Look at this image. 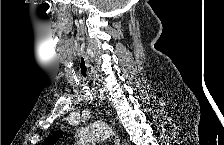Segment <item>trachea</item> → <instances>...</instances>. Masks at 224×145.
I'll return each mask as SVG.
<instances>
[{
	"label": "trachea",
	"mask_w": 224,
	"mask_h": 145,
	"mask_svg": "<svg viewBox=\"0 0 224 145\" xmlns=\"http://www.w3.org/2000/svg\"><path fill=\"white\" fill-rule=\"evenodd\" d=\"M80 69H81V75L83 76V78H87V68H86V66H85V61H84V59L83 58H81V67H80Z\"/></svg>",
	"instance_id": "1"
}]
</instances>
